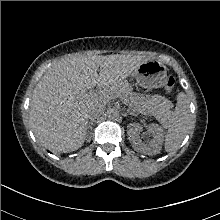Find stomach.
<instances>
[{"instance_id": "1", "label": "stomach", "mask_w": 220, "mask_h": 220, "mask_svg": "<svg viewBox=\"0 0 220 220\" xmlns=\"http://www.w3.org/2000/svg\"><path fill=\"white\" fill-rule=\"evenodd\" d=\"M131 75L142 87L158 88L167 80V67L160 61L147 60L141 63Z\"/></svg>"}]
</instances>
